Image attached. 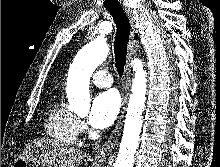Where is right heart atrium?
Instances as JSON below:
<instances>
[{
	"mask_svg": "<svg viewBox=\"0 0 220 167\" xmlns=\"http://www.w3.org/2000/svg\"><path fill=\"white\" fill-rule=\"evenodd\" d=\"M76 128H77L78 134L85 133L87 131L86 123L80 118H76Z\"/></svg>",
	"mask_w": 220,
	"mask_h": 167,
	"instance_id": "obj_1",
	"label": "right heart atrium"
}]
</instances>
